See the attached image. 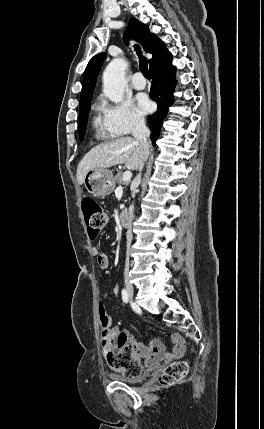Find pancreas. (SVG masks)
I'll use <instances>...</instances> for the list:
<instances>
[{"instance_id":"obj_1","label":"pancreas","mask_w":264,"mask_h":429,"mask_svg":"<svg viewBox=\"0 0 264 429\" xmlns=\"http://www.w3.org/2000/svg\"><path fill=\"white\" fill-rule=\"evenodd\" d=\"M122 178H123L122 172H118L114 177L117 184H123V185L127 186L129 184V181L124 182L122 180Z\"/></svg>"}]
</instances>
